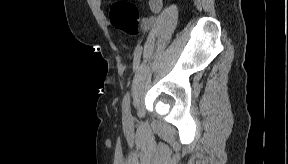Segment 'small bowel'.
I'll return each instance as SVG.
<instances>
[{"label":"small bowel","mask_w":288,"mask_h":164,"mask_svg":"<svg viewBox=\"0 0 288 164\" xmlns=\"http://www.w3.org/2000/svg\"><path fill=\"white\" fill-rule=\"evenodd\" d=\"M162 1L161 0H151L150 1V9L152 11V16L148 19H145V27H148L155 19V17L160 13L162 10Z\"/></svg>","instance_id":"c3829d8e"}]
</instances>
